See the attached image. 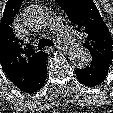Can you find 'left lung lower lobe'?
Here are the masks:
<instances>
[{
  "label": "left lung lower lobe",
  "mask_w": 113,
  "mask_h": 113,
  "mask_svg": "<svg viewBox=\"0 0 113 113\" xmlns=\"http://www.w3.org/2000/svg\"><path fill=\"white\" fill-rule=\"evenodd\" d=\"M110 64L97 58H92L89 66L84 69H76L75 73L78 80L85 86L94 87L101 84L109 70Z\"/></svg>",
  "instance_id": "1"
}]
</instances>
